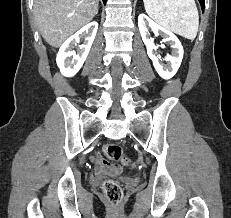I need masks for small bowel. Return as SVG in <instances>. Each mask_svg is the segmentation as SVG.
<instances>
[{
	"label": "small bowel",
	"instance_id": "small-bowel-1",
	"mask_svg": "<svg viewBox=\"0 0 231 218\" xmlns=\"http://www.w3.org/2000/svg\"><path fill=\"white\" fill-rule=\"evenodd\" d=\"M95 170L99 175H119L122 171L119 165L108 162L101 155H96Z\"/></svg>",
	"mask_w": 231,
	"mask_h": 218
}]
</instances>
